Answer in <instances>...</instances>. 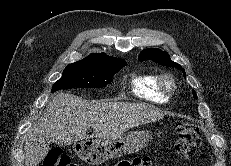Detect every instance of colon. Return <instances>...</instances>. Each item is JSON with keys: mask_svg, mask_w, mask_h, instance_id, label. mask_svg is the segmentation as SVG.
<instances>
[{"mask_svg": "<svg viewBox=\"0 0 231 166\" xmlns=\"http://www.w3.org/2000/svg\"><path fill=\"white\" fill-rule=\"evenodd\" d=\"M178 139L175 143L176 153L185 159L192 157L200 144L199 129L195 124L178 122L176 124ZM40 166H79L61 148H52ZM115 166H151L146 156L120 159Z\"/></svg>", "mask_w": 231, "mask_h": 166, "instance_id": "1", "label": "colon"}]
</instances>
